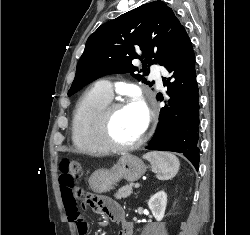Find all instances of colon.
Returning a JSON list of instances; mask_svg holds the SVG:
<instances>
[{"mask_svg": "<svg viewBox=\"0 0 250 235\" xmlns=\"http://www.w3.org/2000/svg\"><path fill=\"white\" fill-rule=\"evenodd\" d=\"M59 171L60 185L72 188L74 181L80 179L83 174L82 163L78 159H64L59 163Z\"/></svg>", "mask_w": 250, "mask_h": 235, "instance_id": "colon-1", "label": "colon"}]
</instances>
